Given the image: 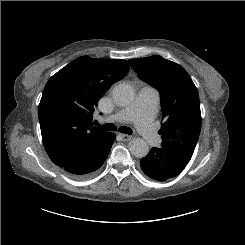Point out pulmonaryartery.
Instances as JSON below:
<instances>
[{"label": "pulmonary artery", "instance_id": "pulmonary-artery-1", "mask_svg": "<svg viewBox=\"0 0 245 245\" xmlns=\"http://www.w3.org/2000/svg\"><path fill=\"white\" fill-rule=\"evenodd\" d=\"M160 101L159 92L152 86H143L135 99L126 107L116 111L108 118L109 122H134L143 139L150 145L157 143L159 136L153 124Z\"/></svg>", "mask_w": 245, "mask_h": 245}]
</instances>
